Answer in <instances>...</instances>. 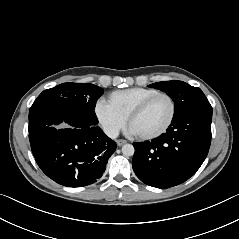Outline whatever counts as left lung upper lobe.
<instances>
[{
	"instance_id": "left-lung-upper-lobe-1",
	"label": "left lung upper lobe",
	"mask_w": 239,
	"mask_h": 239,
	"mask_svg": "<svg viewBox=\"0 0 239 239\" xmlns=\"http://www.w3.org/2000/svg\"><path fill=\"white\" fill-rule=\"evenodd\" d=\"M149 87L159 89L172 98L175 103L173 118L192 109L211 107L200 88L183 81H163L151 84Z\"/></svg>"
}]
</instances>
